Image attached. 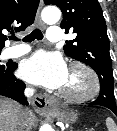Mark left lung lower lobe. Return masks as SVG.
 <instances>
[{"label":"left lung lower lobe","mask_w":117,"mask_h":131,"mask_svg":"<svg viewBox=\"0 0 117 131\" xmlns=\"http://www.w3.org/2000/svg\"><path fill=\"white\" fill-rule=\"evenodd\" d=\"M111 95H112L111 92L108 89L104 88L100 90L99 97L94 102H91L89 104L105 106L110 110H112L117 116L116 104L112 102Z\"/></svg>","instance_id":"0a47b994"}]
</instances>
